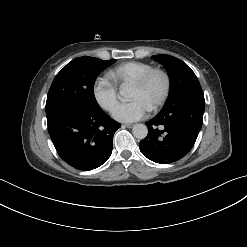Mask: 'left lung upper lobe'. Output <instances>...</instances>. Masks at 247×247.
Instances as JSON below:
<instances>
[{
	"mask_svg": "<svg viewBox=\"0 0 247 247\" xmlns=\"http://www.w3.org/2000/svg\"><path fill=\"white\" fill-rule=\"evenodd\" d=\"M152 58L164 66L170 78V93L161 111L190 101L205 103L200 83L186 63L166 54L155 55Z\"/></svg>",
	"mask_w": 247,
	"mask_h": 247,
	"instance_id": "1",
	"label": "left lung upper lobe"
}]
</instances>
